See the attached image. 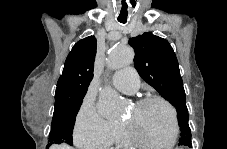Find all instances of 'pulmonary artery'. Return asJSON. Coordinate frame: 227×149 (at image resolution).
<instances>
[{
    "instance_id": "1",
    "label": "pulmonary artery",
    "mask_w": 227,
    "mask_h": 149,
    "mask_svg": "<svg viewBox=\"0 0 227 149\" xmlns=\"http://www.w3.org/2000/svg\"><path fill=\"white\" fill-rule=\"evenodd\" d=\"M112 84L120 92L131 95L138 91L140 79L133 67H125L113 74Z\"/></svg>"
}]
</instances>
